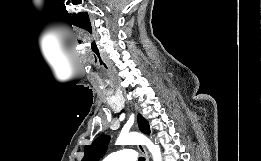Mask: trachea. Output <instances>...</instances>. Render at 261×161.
Instances as JSON below:
<instances>
[{"instance_id":"trachea-1","label":"trachea","mask_w":261,"mask_h":161,"mask_svg":"<svg viewBox=\"0 0 261 161\" xmlns=\"http://www.w3.org/2000/svg\"><path fill=\"white\" fill-rule=\"evenodd\" d=\"M138 161H145V158H144V157H140V158L138 159Z\"/></svg>"}]
</instances>
